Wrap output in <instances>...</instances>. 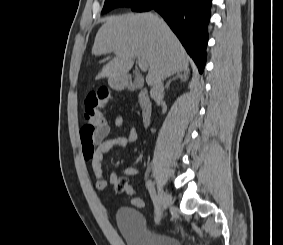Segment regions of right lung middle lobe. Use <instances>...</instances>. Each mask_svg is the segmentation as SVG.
Segmentation results:
<instances>
[{
    "label": "right lung middle lobe",
    "mask_w": 283,
    "mask_h": 245,
    "mask_svg": "<svg viewBox=\"0 0 283 245\" xmlns=\"http://www.w3.org/2000/svg\"><path fill=\"white\" fill-rule=\"evenodd\" d=\"M141 1L142 0H105L102 13H107L117 7H133Z\"/></svg>",
    "instance_id": "right-lung-middle-lobe-1"
}]
</instances>
